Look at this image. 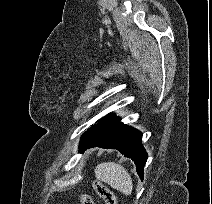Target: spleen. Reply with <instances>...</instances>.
<instances>
[{
  "label": "spleen",
  "mask_w": 212,
  "mask_h": 204,
  "mask_svg": "<svg viewBox=\"0 0 212 204\" xmlns=\"http://www.w3.org/2000/svg\"><path fill=\"white\" fill-rule=\"evenodd\" d=\"M98 180L109 184L112 188L125 195H131L133 183L128 171L120 164L114 162L100 163L95 168Z\"/></svg>",
  "instance_id": "1"
}]
</instances>
